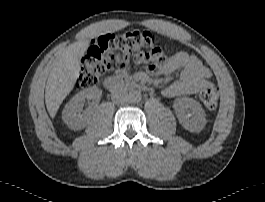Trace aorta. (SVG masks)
<instances>
[{"label":"aorta","instance_id":"1","mask_svg":"<svg viewBox=\"0 0 265 202\" xmlns=\"http://www.w3.org/2000/svg\"><path fill=\"white\" fill-rule=\"evenodd\" d=\"M141 98H142V96H141V93L139 91L131 90L129 92L128 101L130 103H138L141 101Z\"/></svg>","mask_w":265,"mask_h":202}]
</instances>
